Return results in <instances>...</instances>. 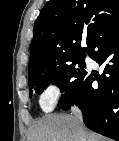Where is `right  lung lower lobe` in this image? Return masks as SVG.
I'll use <instances>...</instances> for the list:
<instances>
[{
  "label": "right lung lower lobe",
  "mask_w": 119,
  "mask_h": 141,
  "mask_svg": "<svg viewBox=\"0 0 119 141\" xmlns=\"http://www.w3.org/2000/svg\"><path fill=\"white\" fill-rule=\"evenodd\" d=\"M88 55L105 65L103 75L86 72L69 101L59 107L68 110L75 104L89 129L119 141V20L103 29ZM95 80L97 88L92 86Z\"/></svg>",
  "instance_id": "98d812e1"
}]
</instances>
